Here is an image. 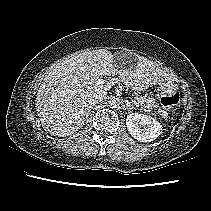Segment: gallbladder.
Listing matches in <instances>:
<instances>
[{
    "instance_id": "bac80fb5",
    "label": "gallbladder",
    "mask_w": 211,
    "mask_h": 211,
    "mask_svg": "<svg viewBox=\"0 0 211 211\" xmlns=\"http://www.w3.org/2000/svg\"><path fill=\"white\" fill-rule=\"evenodd\" d=\"M127 54H128L127 52L122 51V52H118V53L116 54V56H117V57H124V56L127 55Z\"/></svg>"
}]
</instances>
